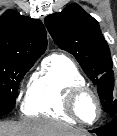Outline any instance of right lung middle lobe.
Wrapping results in <instances>:
<instances>
[{
  "mask_svg": "<svg viewBox=\"0 0 117 136\" xmlns=\"http://www.w3.org/2000/svg\"><path fill=\"white\" fill-rule=\"evenodd\" d=\"M36 60L0 58V105L15 106L19 83Z\"/></svg>",
  "mask_w": 117,
  "mask_h": 136,
  "instance_id": "dd1d6c3e",
  "label": "right lung middle lobe"
}]
</instances>
